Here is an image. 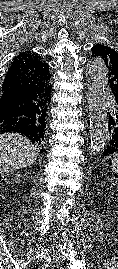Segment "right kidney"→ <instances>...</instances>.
<instances>
[{
	"label": "right kidney",
	"instance_id": "ca27d5eb",
	"mask_svg": "<svg viewBox=\"0 0 118 269\" xmlns=\"http://www.w3.org/2000/svg\"><path fill=\"white\" fill-rule=\"evenodd\" d=\"M14 181H15V182H18V181H19V177H18V178H16Z\"/></svg>",
	"mask_w": 118,
	"mask_h": 269
}]
</instances>
